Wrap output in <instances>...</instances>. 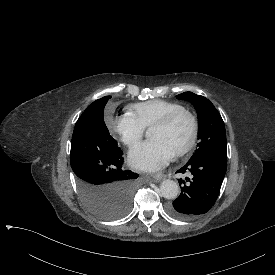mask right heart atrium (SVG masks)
<instances>
[{
	"label": "right heart atrium",
	"instance_id": "d8ad5b80",
	"mask_svg": "<svg viewBox=\"0 0 275 275\" xmlns=\"http://www.w3.org/2000/svg\"><path fill=\"white\" fill-rule=\"evenodd\" d=\"M111 132L118 136L128 150H134L144 136L145 128L131 115L116 117L111 123Z\"/></svg>",
	"mask_w": 275,
	"mask_h": 275
}]
</instances>
